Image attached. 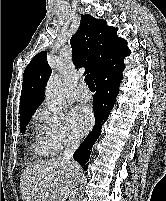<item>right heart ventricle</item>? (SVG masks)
Instances as JSON below:
<instances>
[{
  "instance_id": "right-heart-ventricle-1",
  "label": "right heart ventricle",
  "mask_w": 166,
  "mask_h": 201,
  "mask_svg": "<svg viewBox=\"0 0 166 201\" xmlns=\"http://www.w3.org/2000/svg\"><path fill=\"white\" fill-rule=\"evenodd\" d=\"M36 151L42 155V156H48L51 155L52 152L50 151V149L46 146V144L44 143L42 136H41V132L39 130L37 136H36Z\"/></svg>"
}]
</instances>
